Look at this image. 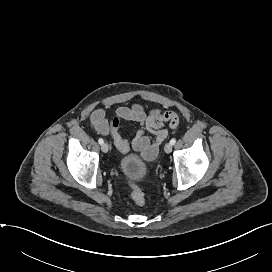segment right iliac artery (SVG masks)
Returning a JSON list of instances; mask_svg holds the SVG:
<instances>
[{"instance_id": "1", "label": "right iliac artery", "mask_w": 272, "mask_h": 272, "mask_svg": "<svg viewBox=\"0 0 272 272\" xmlns=\"http://www.w3.org/2000/svg\"><path fill=\"white\" fill-rule=\"evenodd\" d=\"M98 143H99L100 145H102V144L104 143L103 139H102V138H99Z\"/></svg>"}]
</instances>
